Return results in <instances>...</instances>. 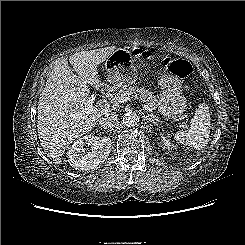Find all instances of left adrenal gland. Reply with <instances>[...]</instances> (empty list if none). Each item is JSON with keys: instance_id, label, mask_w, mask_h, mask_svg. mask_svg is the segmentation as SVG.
I'll return each instance as SVG.
<instances>
[{"instance_id": "left-adrenal-gland-1", "label": "left adrenal gland", "mask_w": 245, "mask_h": 245, "mask_svg": "<svg viewBox=\"0 0 245 245\" xmlns=\"http://www.w3.org/2000/svg\"><path fill=\"white\" fill-rule=\"evenodd\" d=\"M143 119H144V121H146V122H151V123H153L154 125H158V123L154 120V119H152L151 117H149V116H143Z\"/></svg>"}]
</instances>
